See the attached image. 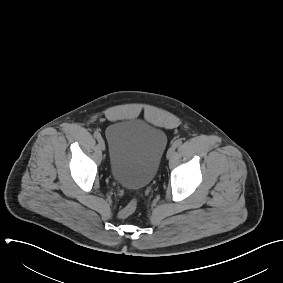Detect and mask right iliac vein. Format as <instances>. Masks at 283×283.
I'll use <instances>...</instances> for the list:
<instances>
[{
  "mask_svg": "<svg viewBox=\"0 0 283 283\" xmlns=\"http://www.w3.org/2000/svg\"><path fill=\"white\" fill-rule=\"evenodd\" d=\"M98 146H99V148H100L102 151L105 150V142H104V140H103L102 138H100V139L98 140Z\"/></svg>",
  "mask_w": 283,
  "mask_h": 283,
  "instance_id": "63e3f726",
  "label": "right iliac vein"
}]
</instances>
